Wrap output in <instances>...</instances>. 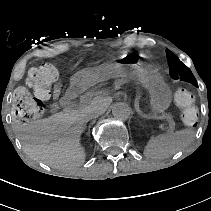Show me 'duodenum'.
<instances>
[{
	"label": "duodenum",
	"instance_id": "obj_1",
	"mask_svg": "<svg viewBox=\"0 0 211 211\" xmlns=\"http://www.w3.org/2000/svg\"><path fill=\"white\" fill-rule=\"evenodd\" d=\"M83 85L79 81L73 82L68 88L65 96L61 100L63 106H68L74 99H76L82 92Z\"/></svg>",
	"mask_w": 211,
	"mask_h": 211
}]
</instances>
